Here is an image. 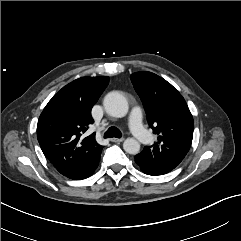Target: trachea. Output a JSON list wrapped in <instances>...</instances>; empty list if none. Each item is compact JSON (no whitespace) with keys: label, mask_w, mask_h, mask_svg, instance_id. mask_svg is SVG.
Wrapping results in <instances>:
<instances>
[{"label":"trachea","mask_w":241,"mask_h":241,"mask_svg":"<svg viewBox=\"0 0 241 241\" xmlns=\"http://www.w3.org/2000/svg\"><path fill=\"white\" fill-rule=\"evenodd\" d=\"M113 137H115V138H121L122 137V133L116 127H110L104 133V138H113Z\"/></svg>","instance_id":"1"}]
</instances>
